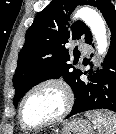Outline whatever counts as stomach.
<instances>
[{"instance_id": "stomach-1", "label": "stomach", "mask_w": 116, "mask_h": 134, "mask_svg": "<svg viewBox=\"0 0 116 134\" xmlns=\"http://www.w3.org/2000/svg\"><path fill=\"white\" fill-rule=\"evenodd\" d=\"M55 134H92V126L87 120L76 118L66 122L62 130Z\"/></svg>"}]
</instances>
